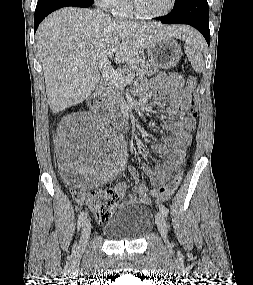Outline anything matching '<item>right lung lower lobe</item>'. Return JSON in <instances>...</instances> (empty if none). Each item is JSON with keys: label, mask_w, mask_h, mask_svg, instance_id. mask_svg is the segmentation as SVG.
<instances>
[{"label": "right lung lower lobe", "mask_w": 253, "mask_h": 285, "mask_svg": "<svg viewBox=\"0 0 253 285\" xmlns=\"http://www.w3.org/2000/svg\"><path fill=\"white\" fill-rule=\"evenodd\" d=\"M93 3L80 0H38L34 15V31L37 30L40 22L51 12L67 6L89 7Z\"/></svg>", "instance_id": "1"}]
</instances>
